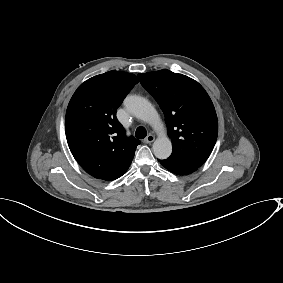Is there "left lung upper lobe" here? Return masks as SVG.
I'll use <instances>...</instances> for the list:
<instances>
[{
  "mask_svg": "<svg viewBox=\"0 0 283 283\" xmlns=\"http://www.w3.org/2000/svg\"><path fill=\"white\" fill-rule=\"evenodd\" d=\"M138 77L165 114L173 146L169 159L202 166L218 134L217 115L207 92L195 80L167 69Z\"/></svg>",
  "mask_w": 283,
  "mask_h": 283,
  "instance_id": "obj_1",
  "label": "left lung upper lobe"
}]
</instances>
